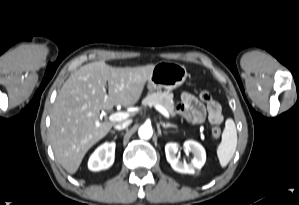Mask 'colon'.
<instances>
[{
	"label": "colon",
	"mask_w": 299,
	"mask_h": 205,
	"mask_svg": "<svg viewBox=\"0 0 299 205\" xmlns=\"http://www.w3.org/2000/svg\"><path fill=\"white\" fill-rule=\"evenodd\" d=\"M199 97L203 101H210L211 100V94L207 90H202L199 94ZM214 126L212 128V135L214 138H219L221 136V128L219 126L218 122V116L215 114L214 115Z\"/></svg>",
	"instance_id": "5ec220e1"
}]
</instances>
